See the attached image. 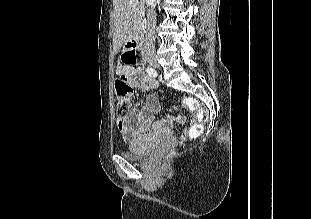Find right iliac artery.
I'll use <instances>...</instances> for the list:
<instances>
[{"instance_id":"1","label":"right iliac artery","mask_w":311,"mask_h":219,"mask_svg":"<svg viewBox=\"0 0 311 219\" xmlns=\"http://www.w3.org/2000/svg\"><path fill=\"white\" fill-rule=\"evenodd\" d=\"M146 71H147L148 75H150V76H152V77H156V76H157L156 70H154V69L151 68V67H148Z\"/></svg>"}]
</instances>
